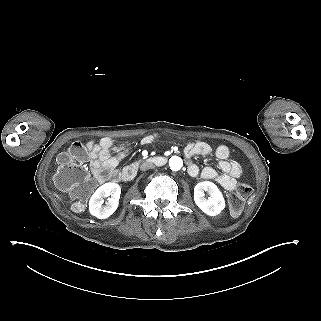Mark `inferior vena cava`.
I'll list each match as a JSON object with an SVG mask.
<instances>
[{
  "mask_svg": "<svg viewBox=\"0 0 321 321\" xmlns=\"http://www.w3.org/2000/svg\"><path fill=\"white\" fill-rule=\"evenodd\" d=\"M153 168H155V165L151 162H145L140 166L141 171H146L148 169H153Z\"/></svg>",
  "mask_w": 321,
  "mask_h": 321,
  "instance_id": "inferior-vena-cava-1",
  "label": "inferior vena cava"
}]
</instances>
